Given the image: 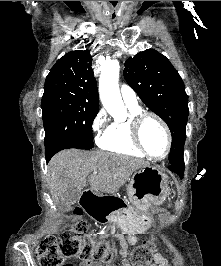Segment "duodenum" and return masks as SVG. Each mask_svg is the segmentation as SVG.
I'll return each instance as SVG.
<instances>
[{"mask_svg":"<svg viewBox=\"0 0 221 266\" xmlns=\"http://www.w3.org/2000/svg\"><path fill=\"white\" fill-rule=\"evenodd\" d=\"M78 203L86 207L85 213L92 216L96 223H110L113 219L122 227H132L131 221L125 215L124 202L108 189H84Z\"/></svg>","mask_w":221,"mask_h":266,"instance_id":"duodenum-1","label":"duodenum"}]
</instances>
